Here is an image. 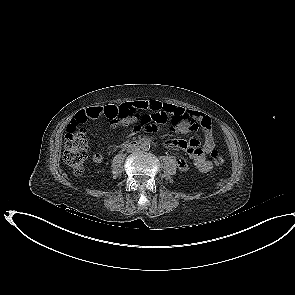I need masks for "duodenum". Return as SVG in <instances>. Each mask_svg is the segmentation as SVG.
I'll return each mask as SVG.
<instances>
[{
    "instance_id": "410a0bca",
    "label": "duodenum",
    "mask_w": 295,
    "mask_h": 295,
    "mask_svg": "<svg viewBox=\"0 0 295 295\" xmlns=\"http://www.w3.org/2000/svg\"><path fill=\"white\" fill-rule=\"evenodd\" d=\"M142 141H143L142 139H135V140L129 141L126 145L128 147H137L142 143Z\"/></svg>"
}]
</instances>
